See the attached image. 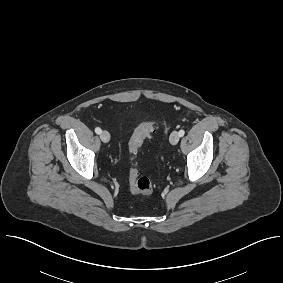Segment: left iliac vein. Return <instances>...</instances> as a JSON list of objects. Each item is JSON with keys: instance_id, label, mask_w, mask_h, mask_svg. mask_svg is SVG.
<instances>
[{"instance_id": "1", "label": "left iliac vein", "mask_w": 283, "mask_h": 283, "mask_svg": "<svg viewBox=\"0 0 283 283\" xmlns=\"http://www.w3.org/2000/svg\"><path fill=\"white\" fill-rule=\"evenodd\" d=\"M180 136L177 131H173L169 137V141L172 145H176L179 142Z\"/></svg>"}]
</instances>
